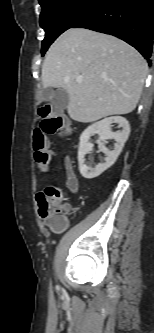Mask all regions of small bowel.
<instances>
[{
  "mask_svg": "<svg viewBox=\"0 0 154 333\" xmlns=\"http://www.w3.org/2000/svg\"><path fill=\"white\" fill-rule=\"evenodd\" d=\"M65 169H66V186L71 192H76L78 189V179L73 170L71 160L67 157L65 159ZM70 205L66 204L65 209H69Z\"/></svg>",
  "mask_w": 154,
  "mask_h": 333,
  "instance_id": "obj_1",
  "label": "small bowel"
}]
</instances>
